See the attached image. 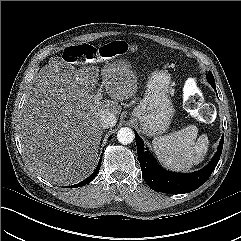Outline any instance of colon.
<instances>
[{
	"label": "colon",
	"instance_id": "colon-1",
	"mask_svg": "<svg viewBox=\"0 0 241 241\" xmlns=\"http://www.w3.org/2000/svg\"><path fill=\"white\" fill-rule=\"evenodd\" d=\"M128 50L129 46L122 41L110 42L100 47L85 44L65 49L63 60L70 64L85 65L121 55ZM184 104L194 117L206 122L213 119V108L204 104L203 98L194 82H191L185 90Z\"/></svg>",
	"mask_w": 241,
	"mask_h": 241
}]
</instances>
